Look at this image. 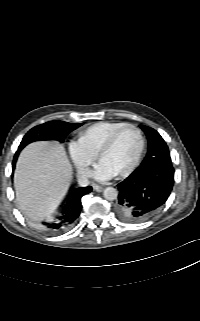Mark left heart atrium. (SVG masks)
I'll return each instance as SVG.
<instances>
[{
	"mask_svg": "<svg viewBox=\"0 0 200 321\" xmlns=\"http://www.w3.org/2000/svg\"><path fill=\"white\" fill-rule=\"evenodd\" d=\"M93 175L98 180H108L115 176V174L102 162L97 165Z\"/></svg>",
	"mask_w": 200,
	"mask_h": 321,
	"instance_id": "39dd6f15",
	"label": "left heart atrium"
}]
</instances>
